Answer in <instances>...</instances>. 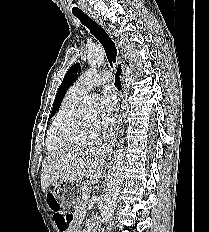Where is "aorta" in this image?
<instances>
[{"mask_svg":"<svg viewBox=\"0 0 209 232\" xmlns=\"http://www.w3.org/2000/svg\"><path fill=\"white\" fill-rule=\"evenodd\" d=\"M88 62L92 67H99L104 60L103 50L99 45H92L87 53ZM97 94H92L83 101V105L89 108L97 106ZM123 140L118 143V150L114 156L110 180L104 194V208L101 212V223H107L112 217L117 206L118 196L124 180V147Z\"/></svg>","mask_w":209,"mask_h":232,"instance_id":"obj_1","label":"aorta"}]
</instances>
